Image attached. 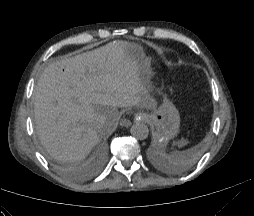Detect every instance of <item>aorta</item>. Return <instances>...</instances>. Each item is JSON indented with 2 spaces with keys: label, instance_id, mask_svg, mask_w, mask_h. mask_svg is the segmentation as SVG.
I'll return each instance as SVG.
<instances>
[{
  "label": "aorta",
  "instance_id": "aorta-1",
  "mask_svg": "<svg viewBox=\"0 0 254 216\" xmlns=\"http://www.w3.org/2000/svg\"><path fill=\"white\" fill-rule=\"evenodd\" d=\"M130 133L134 138L138 140H144L149 135V129L146 124L142 122H136L132 125Z\"/></svg>",
  "mask_w": 254,
  "mask_h": 216
}]
</instances>
